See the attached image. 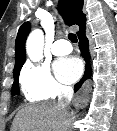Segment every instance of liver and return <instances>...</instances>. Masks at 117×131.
<instances>
[{
    "label": "liver",
    "instance_id": "obj_1",
    "mask_svg": "<svg viewBox=\"0 0 117 131\" xmlns=\"http://www.w3.org/2000/svg\"><path fill=\"white\" fill-rule=\"evenodd\" d=\"M71 114L56 102L28 105L16 115L11 131H68Z\"/></svg>",
    "mask_w": 117,
    "mask_h": 131
}]
</instances>
